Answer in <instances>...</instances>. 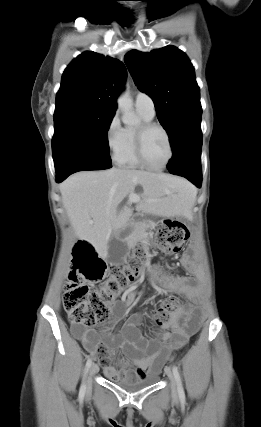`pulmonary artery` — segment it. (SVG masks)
<instances>
[{
	"instance_id": "1",
	"label": "pulmonary artery",
	"mask_w": 261,
	"mask_h": 427,
	"mask_svg": "<svg viewBox=\"0 0 261 427\" xmlns=\"http://www.w3.org/2000/svg\"><path fill=\"white\" fill-rule=\"evenodd\" d=\"M135 107L149 118L155 115V105L152 98L143 92H138L135 97Z\"/></svg>"
}]
</instances>
